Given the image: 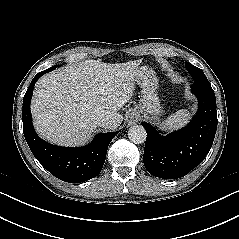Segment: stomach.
I'll list each match as a JSON object with an SVG mask.
<instances>
[{"label":"stomach","instance_id":"1","mask_svg":"<svg viewBox=\"0 0 239 239\" xmlns=\"http://www.w3.org/2000/svg\"><path fill=\"white\" fill-rule=\"evenodd\" d=\"M142 76L136 82L141 88V98L139 103L131 110L130 114L140 116H152L159 120L158 115L163 112L160 99L157 94L158 78L153 70L143 67Z\"/></svg>","mask_w":239,"mask_h":239}]
</instances>
